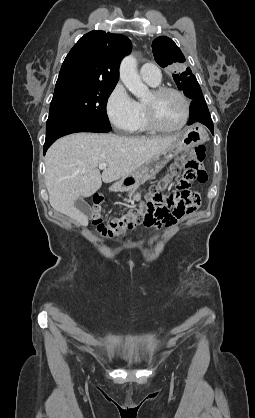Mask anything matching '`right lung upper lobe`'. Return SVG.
Segmentation results:
<instances>
[{"label": "right lung upper lobe", "mask_w": 255, "mask_h": 418, "mask_svg": "<svg viewBox=\"0 0 255 418\" xmlns=\"http://www.w3.org/2000/svg\"><path fill=\"white\" fill-rule=\"evenodd\" d=\"M132 49L124 35L91 31L66 56L56 84L84 82L116 85L122 58Z\"/></svg>", "instance_id": "right-lung-upper-lobe-1"}]
</instances>
